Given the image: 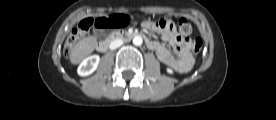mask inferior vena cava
<instances>
[{"label":"inferior vena cava","instance_id":"1","mask_svg":"<svg viewBox=\"0 0 276 120\" xmlns=\"http://www.w3.org/2000/svg\"><path fill=\"white\" fill-rule=\"evenodd\" d=\"M123 45V41L121 39H116L110 43V49L115 50L116 48L120 47Z\"/></svg>","mask_w":276,"mask_h":120}]
</instances>
